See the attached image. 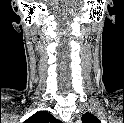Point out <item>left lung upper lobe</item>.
<instances>
[{"instance_id":"5c2ea615","label":"left lung upper lobe","mask_w":124,"mask_h":123,"mask_svg":"<svg viewBox=\"0 0 124 123\" xmlns=\"http://www.w3.org/2000/svg\"><path fill=\"white\" fill-rule=\"evenodd\" d=\"M83 123H100V121L91 113H86L82 117Z\"/></svg>"}]
</instances>
